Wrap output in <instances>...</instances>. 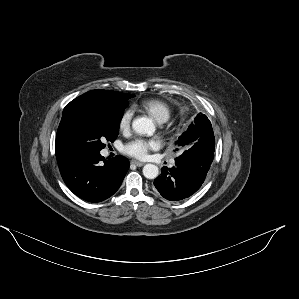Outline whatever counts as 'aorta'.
Listing matches in <instances>:
<instances>
[{
  "label": "aorta",
  "instance_id": "aorta-1",
  "mask_svg": "<svg viewBox=\"0 0 299 299\" xmlns=\"http://www.w3.org/2000/svg\"><path fill=\"white\" fill-rule=\"evenodd\" d=\"M132 128L139 135L152 136L155 132V125L152 120L147 117H139L132 123ZM159 174V169L154 164H146L143 167V175L147 179H155Z\"/></svg>",
  "mask_w": 299,
  "mask_h": 299
}]
</instances>
